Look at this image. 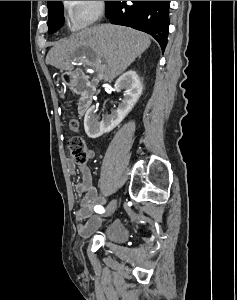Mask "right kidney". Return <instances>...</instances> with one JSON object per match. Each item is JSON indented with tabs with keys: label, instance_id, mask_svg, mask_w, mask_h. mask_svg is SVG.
<instances>
[{
	"label": "right kidney",
	"instance_id": "obj_1",
	"mask_svg": "<svg viewBox=\"0 0 237 300\" xmlns=\"http://www.w3.org/2000/svg\"><path fill=\"white\" fill-rule=\"evenodd\" d=\"M116 91H124V99L119 103L117 109L111 111V115H103L102 121L99 123V119L96 115V107H90L84 117V129L86 135L90 139H97L104 133H110L113 131L126 115L133 109L135 103H137L143 89V85L136 73V71H127L124 75H121L115 83Z\"/></svg>",
	"mask_w": 237,
	"mask_h": 300
}]
</instances>
